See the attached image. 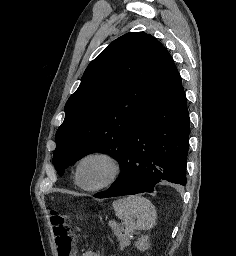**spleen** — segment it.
<instances>
[{
	"label": "spleen",
	"instance_id": "obj_1",
	"mask_svg": "<svg viewBox=\"0 0 236 256\" xmlns=\"http://www.w3.org/2000/svg\"><path fill=\"white\" fill-rule=\"evenodd\" d=\"M112 206L115 216L122 220L128 232L130 230H150L155 222L154 206L142 196L122 198V200L113 202ZM84 256H92V254H84Z\"/></svg>",
	"mask_w": 236,
	"mask_h": 256
}]
</instances>
